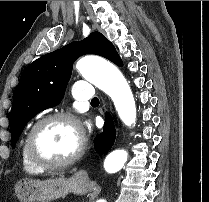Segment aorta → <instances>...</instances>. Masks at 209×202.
Listing matches in <instances>:
<instances>
[{
  "instance_id": "762f6f07",
  "label": "aorta",
  "mask_w": 209,
  "mask_h": 202,
  "mask_svg": "<svg viewBox=\"0 0 209 202\" xmlns=\"http://www.w3.org/2000/svg\"><path fill=\"white\" fill-rule=\"evenodd\" d=\"M76 68L82 77L112 99L115 109L125 125L135 124L136 105L132 91L125 77L115 65L102 59L86 56L78 60ZM127 158V151L116 149L105 158L104 168L109 173H115L124 167Z\"/></svg>"
}]
</instances>
